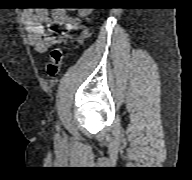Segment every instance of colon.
Listing matches in <instances>:
<instances>
[{
    "instance_id": "1",
    "label": "colon",
    "mask_w": 192,
    "mask_h": 180,
    "mask_svg": "<svg viewBox=\"0 0 192 180\" xmlns=\"http://www.w3.org/2000/svg\"><path fill=\"white\" fill-rule=\"evenodd\" d=\"M64 62V54L60 47H54L47 63V72L50 76H56L60 73Z\"/></svg>"
}]
</instances>
